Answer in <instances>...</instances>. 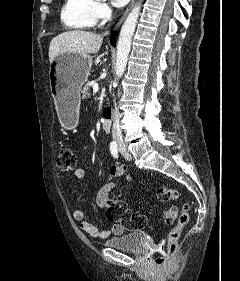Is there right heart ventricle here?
Segmentation results:
<instances>
[{"label":"right heart ventricle","mask_w":240,"mask_h":281,"mask_svg":"<svg viewBox=\"0 0 240 281\" xmlns=\"http://www.w3.org/2000/svg\"><path fill=\"white\" fill-rule=\"evenodd\" d=\"M96 0H64L60 18L68 30H86L95 26Z\"/></svg>","instance_id":"right-heart-ventricle-1"}]
</instances>
